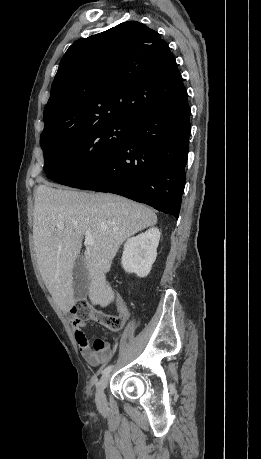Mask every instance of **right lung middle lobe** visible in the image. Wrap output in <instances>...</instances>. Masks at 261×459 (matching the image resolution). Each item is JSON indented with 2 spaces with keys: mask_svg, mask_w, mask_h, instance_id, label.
Listing matches in <instances>:
<instances>
[{
  "mask_svg": "<svg viewBox=\"0 0 261 459\" xmlns=\"http://www.w3.org/2000/svg\"><path fill=\"white\" fill-rule=\"evenodd\" d=\"M134 124L112 120L84 130H53L41 134L47 177L63 185L79 180L126 144Z\"/></svg>",
  "mask_w": 261,
  "mask_h": 459,
  "instance_id": "obj_1",
  "label": "right lung middle lobe"
}]
</instances>
